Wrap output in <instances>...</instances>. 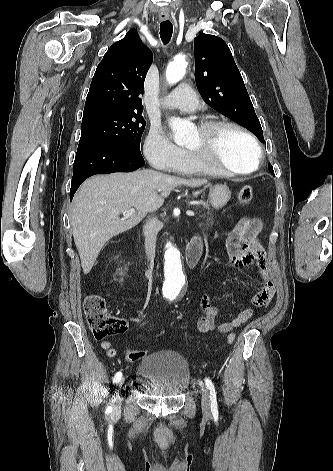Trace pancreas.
<instances>
[{
  "label": "pancreas",
  "mask_w": 333,
  "mask_h": 471,
  "mask_svg": "<svg viewBox=\"0 0 333 471\" xmlns=\"http://www.w3.org/2000/svg\"><path fill=\"white\" fill-rule=\"evenodd\" d=\"M202 206L207 209V212L206 214L201 215L200 218H206V221L199 222L198 226L203 228L204 230H208L211 229L214 225V217L212 216V214L210 213V209L206 205L203 204Z\"/></svg>",
  "instance_id": "pancreas-1"
}]
</instances>
